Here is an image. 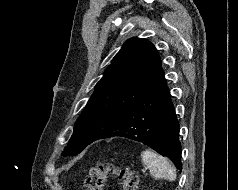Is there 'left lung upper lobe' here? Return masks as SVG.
Wrapping results in <instances>:
<instances>
[{
  "instance_id": "1",
  "label": "left lung upper lobe",
  "mask_w": 238,
  "mask_h": 190,
  "mask_svg": "<svg viewBox=\"0 0 238 190\" xmlns=\"http://www.w3.org/2000/svg\"><path fill=\"white\" fill-rule=\"evenodd\" d=\"M161 73V59L155 46L146 39H129L96 84L63 155L78 154L92 142L105 138Z\"/></svg>"
}]
</instances>
